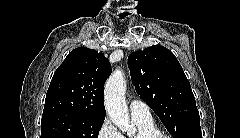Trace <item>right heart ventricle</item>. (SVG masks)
I'll list each match as a JSON object with an SVG mask.
<instances>
[{"label":"right heart ventricle","mask_w":240,"mask_h":138,"mask_svg":"<svg viewBox=\"0 0 240 138\" xmlns=\"http://www.w3.org/2000/svg\"><path fill=\"white\" fill-rule=\"evenodd\" d=\"M133 120L137 126V133L134 136H129L125 138H142V135L146 133L159 131L151 117H133Z\"/></svg>","instance_id":"e07e8e85"}]
</instances>
